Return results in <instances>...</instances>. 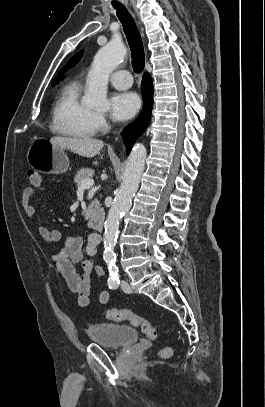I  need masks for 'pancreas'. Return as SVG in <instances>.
Masks as SVG:
<instances>
[{"mask_svg": "<svg viewBox=\"0 0 265 407\" xmlns=\"http://www.w3.org/2000/svg\"><path fill=\"white\" fill-rule=\"evenodd\" d=\"M93 176H94V170H92L90 168H84L77 172V174L75 175V178H74V182L76 183L77 186H80L82 181H84L86 179H92ZM99 206H100V204H99L98 200L95 199L88 206V211L97 209V208H99ZM85 212H87V211H85Z\"/></svg>", "mask_w": 265, "mask_h": 407, "instance_id": "obj_1", "label": "pancreas"}]
</instances>
